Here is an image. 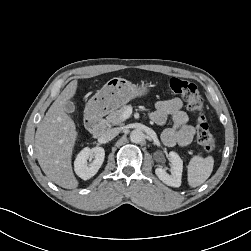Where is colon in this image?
Masks as SVG:
<instances>
[{
    "instance_id": "5ec220e1",
    "label": "colon",
    "mask_w": 251,
    "mask_h": 251,
    "mask_svg": "<svg viewBox=\"0 0 251 251\" xmlns=\"http://www.w3.org/2000/svg\"><path fill=\"white\" fill-rule=\"evenodd\" d=\"M167 88L185 99L189 111L196 117L198 143L207 152L213 151L216 139L209 130L203 111V100L197 86L190 81L173 77L168 81Z\"/></svg>"
}]
</instances>
